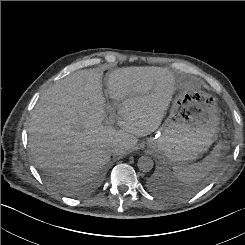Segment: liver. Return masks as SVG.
Masks as SVG:
<instances>
[{"instance_id":"obj_1","label":"liver","mask_w":245,"mask_h":245,"mask_svg":"<svg viewBox=\"0 0 245 245\" xmlns=\"http://www.w3.org/2000/svg\"><path fill=\"white\" fill-rule=\"evenodd\" d=\"M102 76L79 70L41 95L28 127V146L39 168L69 180L86 178L102 169L111 154L126 153L138 137L158 129L175 91L172 72L140 66L109 74L108 93L120 130L103 124L109 106Z\"/></svg>"}]
</instances>
